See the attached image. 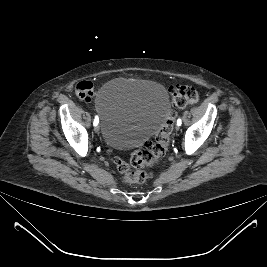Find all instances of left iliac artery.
Here are the masks:
<instances>
[{"instance_id": "1", "label": "left iliac artery", "mask_w": 267, "mask_h": 267, "mask_svg": "<svg viewBox=\"0 0 267 267\" xmlns=\"http://www.w3.org/2000/svg\"><path fill=\"white\" fill-rule=\"evenodd\" d=\"M181 123H182V122H181V119L179 118V119L177 120V125H179V126H180V125H181Z\"/></svg>"}]
</instances>
